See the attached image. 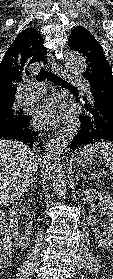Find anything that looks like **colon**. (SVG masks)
Wrapping results in <instances>:
<instances>
[{
    "mask_svg": "<svg viewBox=\"0 0 113 279\" xmlns=\"http://www.w3.org/2000/svg\"><path fill=\"white\" fill-rule=\"evenodd\" d=\"M12 242L9 236V229L3 215L0 212V260L10 256Z\"/></svg>",
    "mask_w": 113,
    "mask_h": 279,
    "instance_id": "1",
    "label": "colon"
}]
</instances>
